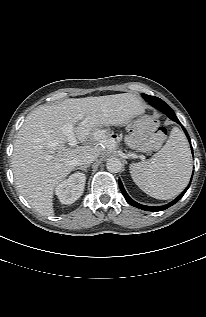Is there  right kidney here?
Instances as JSON below:
<instances>
[{
	"label": "right kidney",
	"instance_id": "ca27d5eb",
	"mask_svg": "<svg viewBox=\"0 0 206 317\" xmlns=\"http://www.w3.org/2000/svg\"><path fill=\"white\" fill-rule=\"evenodd\" d=\"M86 176L83 173H74L63 180L55 189L62 204H72L81 197L84 191Z\"/></svg>",
	"mask_w": 206,
	"mask_h": 317
}]
</instances>
